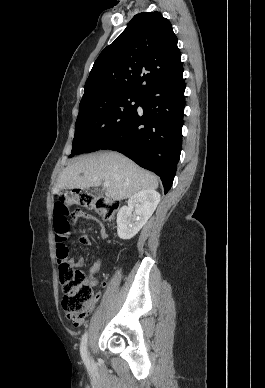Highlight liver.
Listing matches in <instances>:
<instances>
[{
	"instance_id": "6515ba94",
	"label": "liver",
	"mask_w": 265,
	"mask_h": 388,
	"mask_svg": "<svg viewBox=\"0 0 265 388\" xmlns=\"http://www.w3.org/2000/svg\"><path fill=\"white\" fill-rule=\"evenodd\" d=\"M109 182L105 196L112 200H126L141 190H156L158 178L136 166L132 160L117 152L91 158H75L60 174L55 190L95 188Z\"/></svg>"
}]
</instances>
